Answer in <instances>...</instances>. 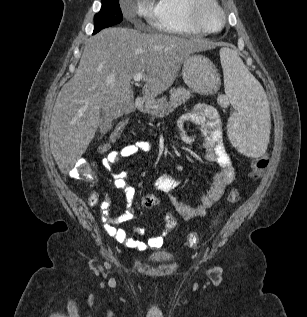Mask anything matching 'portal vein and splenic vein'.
I'll return each mask as SVG.
<instances>
[{"mask_svg":"<svg viewBox=\"0 0 307 317\" xmlns=\"http://www.w3.org/2000/svg\"><path fill=\"white\" fill-rule=\"evenodd\" d=\"M142 79H144V74L143 73H137L133 76V80L135 82H140Z\"/></svg>","mask_w":307,"mask_h":317,"instance_id":"18ae733b","label":"portal vein and splenic vein"}]
</instances>
